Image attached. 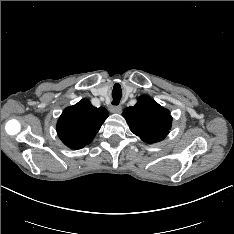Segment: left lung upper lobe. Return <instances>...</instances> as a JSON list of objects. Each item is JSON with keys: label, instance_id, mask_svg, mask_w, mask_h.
I'll list each match as a JSON object with an SVG mask.
<instances>
[{"label": "left lung upper lobe", "instance_id": "left-lung-upper-lobe-1", "mask_svg": "<svg viewBox=\"0 0 234 234\" xmlns=\"http://www.w3.org/2000/svg\"><path fill=\"white\" fill-rule=\"evenodd\" d=\"M131 131L149 144L163 140L171 128L172 117L148 96H141L133 107L123 111Z\"/></svg>", "mask_w": 234, "mask_h": 234}]
</instances>
